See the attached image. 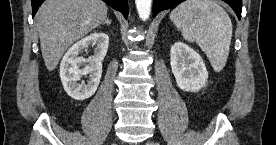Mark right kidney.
<instances>
[{
  "label": "right kidney",
  "mask_w": 276,
  "mask_h": 145,
  "mask_svg": "<svg viewBox=\"0 0 276 145\" xmlns=\"http://www.w3.org/2000/svg\"><path fill=\"white\" fill-rule=\"evenodd\" d=\"M89 45L95 46L94 55L85 59L79 54ZM109 46L106 33L95 32L71 46L60 64V77L66 93L73 99L83 101L90 98L97 90L102 76V61ZM89 74L87 84L78 81Z\"/></svg>",
  "instance_id": "1"
}]
</instances>
